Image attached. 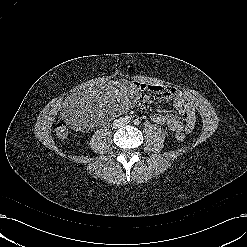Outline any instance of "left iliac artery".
<instances>
[{"label":"left iliac artery","mask_w":247,"mask_h":247,"mask_svg":"<svg viewBox=\"0 0 247 247\" xmlns=\"http://www.w3.org/2000/svg\"><path fill=\"white\" fill-rule=\"evenodd\" d=\"M135 124H137V125H138V124H139V121H138V120H137V121H135Z\"/></svg>","instance_id":"44dca946"}]
</instances>
